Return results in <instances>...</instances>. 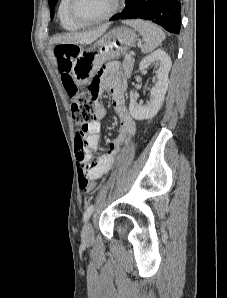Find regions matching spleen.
Instances as JSON below:
<instances>
[{"instance_id":"3e777b00","label":"spleen","mask_w":227,"mask_h":298,"mask_svg":"<svg viewBox=\"0 0 227 298\" xmlns=\"http://www.w3.org/2000/svg\"><path fill=\"white\" fill-rule=\"evenodd\" d=\"M124 23L134 27L142 36L145 41L141 47L143 53H149L156 49L166 37L163 30L151 22L136 19L127 20Z\"/></svg>"}]
</instances>
